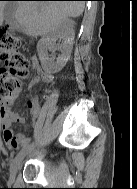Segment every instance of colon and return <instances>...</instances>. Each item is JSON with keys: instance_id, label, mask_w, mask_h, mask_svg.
<instances>
[{"instance_id": "colon-1", "label": "colon", "mask_w": 137, "mask_h": 189, "mask_svg": "<svg viewBox=\"0 0 137 189\" xmlns=\"http://www.w3.org/2000/svg\"><path fill=\"white\" fill-rule=\"evenodd\" d=\"M0 61L5 64L0 68L1 104L9 101L21 89L36 61L27 58L21 40L5 30H0Z\"/></svg>"}]
</instances>
